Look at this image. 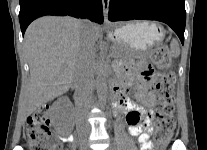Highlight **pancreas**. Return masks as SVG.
<instances>
[{
	"instance_id": "1",
	"label": "pancreas",
	"mask_w": 207,
	"mask_h": 150,
	"mask_svg": "<svg viewBox=\"0 0 207 150\" xmlns=\"http://www.w3.org/2000/svg\"><path fill=\"white\" fill-rule=\"evenodd\" d=\"M121 52V49L120 48H116L115 49V54L117 55V54H119Z\"/></svg>"
}]
</instances>
